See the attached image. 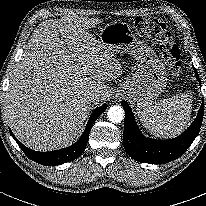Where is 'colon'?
Here are the masks:
<instances>
[{
	"mask_svg": "<svg viewBox=\"0 0 206 206\" xmlns=\"http://www.w3.org/2000/svg\"><path fill=\"white\" fill-rule=\"evenodd\" d=\"M133 28L137 34L153 38L169 71L175 76L180 75L182 71L180 51L173 42L168 21L155 16L138 17L133 23Z\"/></svg>",
	"mask_w": 206,
	"mask_h": 206,
	"instance_id": "1",
	"label": "colon"
}]
</instances>
